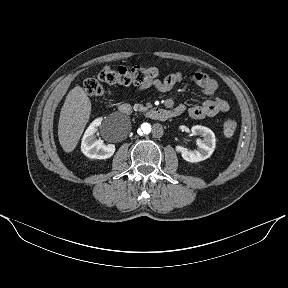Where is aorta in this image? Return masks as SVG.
<instances>
[{"instance_id":"obj_1","label":"aorta","mask_w":288,"mask_h":288,"mask_svg":"<svg viewBox=\"0 0 288 288\" xmlns=\"http://www.w3.org/2000/svg\"><path fill=\"white\" fill-rule=\"evenodd\" d=\"M152 127L151 125L145 123V124H141L138 126L137 128V133L139 136L141 137H146L149 135V133L151 132Z\"/></svg>"}]
</instances>
